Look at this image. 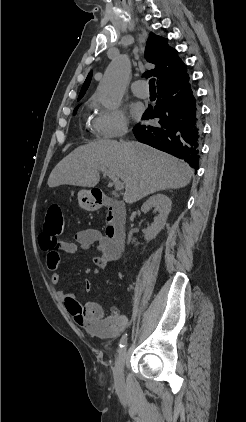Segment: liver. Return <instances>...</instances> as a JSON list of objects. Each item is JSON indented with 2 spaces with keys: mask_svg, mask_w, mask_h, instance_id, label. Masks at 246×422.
Returning a JSON list of instances; mask_svg holds the SVG:
<instances>
[{
  "mask_svg": "<svg viewBox=\"0 0 246 422\" xmlns=\"http://www.w3.org/2000/svg\"><path fill=\"white\" fill-rule=\"evenodd\" d=\"M107 170L125 185L123 200L132 204L152 193L190 183L191 167L171 155L138 142L101 140L80 146L52 170L48 186L94 187Z\"/></svg>",
  "mask_w": 246,
  "mask_h": 422,
  "instance_id": "6515ba94",
  "label": "liver"
}]
</instances>
